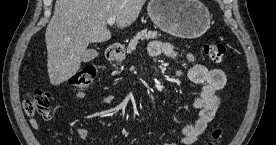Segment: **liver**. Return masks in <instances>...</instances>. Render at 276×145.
Returning <instances> with one entry per match:
<instances>
[{
  "instance_id": "1",
  "label": "liver",
  "mask_w": 276,
  "mask_h": 145,
  "mask_svg": "<svg viewBox=\"0 0 276 145\" xmlns=\"http://www.w3.org/2000/svg\"><path fill=\"white\" fill-rule=\"evenodd\" d=\"M146 0H56L45 33L50 83L60 85L80 69L89 43L111 38L107 20L116 18L119 28L138 18Z\"/></svg>"
}]
</instances>
